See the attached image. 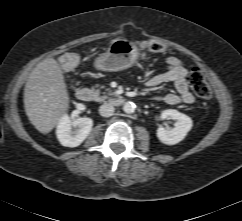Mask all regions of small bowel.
<instances>
[{
  "label": "small bowel",
  "mask_w": 242,
  "mask_h": 221,
  "mask_svg": "<svg viewBox=\"0 0 242 221\" xmlns=\"http://www.w3.org/2000/svg\"><path fill=\"white\" fill-rule=\"evenodd\" d=\"M166 68L153 75L146 82L148 87H156L164 83H172L177 93H168L159 99L168 105H176L180 102L191 104L195 98L187 84L188 69L184 62L177 57H168L165 60Z\"/></svg>",
  "instance_id": "obj_1"
}]
</instances>
